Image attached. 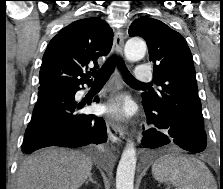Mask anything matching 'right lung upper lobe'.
<instances>
[{
	"mask_svg": "<svg viewBox=\"0 0 223 189\" xmlns=\"http://www.w3.org/2000/svg\"><path fill=\"white\" fill-rule=\"evenodd\" d=\"M112 42L111 27L98 17L80 19L63 28L43 55L39 91L90 84L86 70L91 64L92 70L99 68L97 59L110 52Z\"/></svg>",
	"mask_w": 223,
	"mask_h": 189,
	"instance_id": "obj_1",
	"label": "right lung upper lobe"
}]
</instances>
